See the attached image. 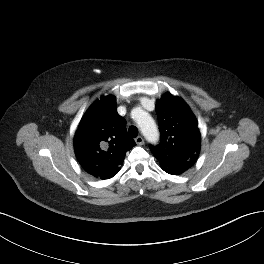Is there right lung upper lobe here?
<instances>
[{
    "mask_svg": "<svg viewBox=\"0 0 264 264\" xmlns=\"http://www.w3.org/2000/svg\"><path fill=\"white\" fill-rule=\"evenodd\" d=\"M125 124L110 95L95 101L84 114L74 136V150L89 174L109 179L118 173L124 155L135 146Z\"/></svg>",
    "mask_w": 264,
    "mask_h": 264,
    "instance_id": "1",
    "label": "right lung upper lobe"
}]
</instances>
